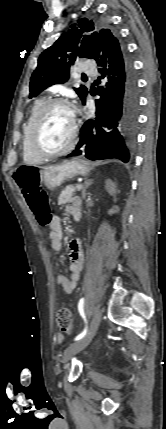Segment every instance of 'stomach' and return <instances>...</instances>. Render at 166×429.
Returning <instances> with one entry per match:
<instances>
[{"label": "stomach", "mask_w": 166, "mask_h": 429, "mask_svg": "<svg viewBox=\"0 0 166 429\" xmlns=\"http://www.w3.org/2000/svg\"><path fill=\"white\" fill-rule=\"evenodd\" d=\"M91 169L86 161L75 159L44 167L40 170L39 178L48 189L54 190L64 181L70 180L75 176L86 175Z\"/></svg>", "instance_id": "0dacf381"}]
</instances>
